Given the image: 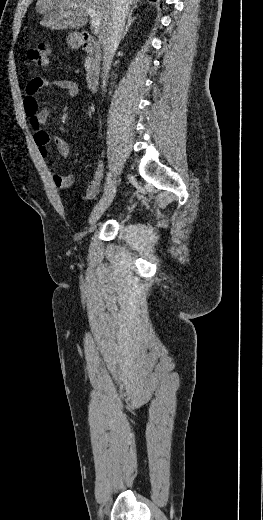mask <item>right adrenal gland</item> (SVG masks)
Instances as JSON below:
<instances>
[{"instance_id":"right-adrenal-gland-1","label":"right adrenal gland","mask_w":263,"mask_h":520,"mask_svg":"<svg viewBox=\"0 0 263 520\" xmlns=\"http://www.w3.org/2000/svg\"><path fill=\"white\" fill-rule=\"evenodd\" d=\"M137 6L133 7L130 12H129V15H128V19H127V24L125 26V29L123 31V34H122V38L121 39H124V37L126 36L128 30H129V27L130 25L137 19V17H132V14H133V11L134 9H136Z\"/></svg>"}]
</instances>
